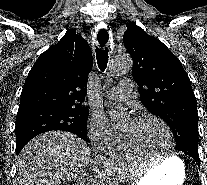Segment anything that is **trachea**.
<instances>
[{"label": "trachea", "mask_w": 207, "mask_h": 185, "mask_svg": "<svg viewBox=\"0 0 207 185\" xmlns=\"http://www.w3.org/2000/svg\"><path fill=\"white\" fill-rule=\"evenodd\" d=\"M108 38H109V35H108L107 30H105L104 28L99 30L98 40L102 46H104V43H107ZM96 58H97V63H98L100 70L104 71L106 69L107 62H108V49L107 48L105 49L96 48Z\"/></svg>", "instance_id": "1"}]
</instances>
